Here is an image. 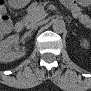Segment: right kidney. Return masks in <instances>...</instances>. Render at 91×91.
I'll return each mask as SVG.
<instances>
[{"label": "right kidney", "instance_id": "1", "mask_svg": "<svg viewBox=\"0 0 91 91\" xmlns=\"http://www.w3.org/2000/svg\"><path fill=\"white\" fill-rule=\"evenodd\" d=\"M19 42V35H11L5 40L0 42V61L3 63L12 62L16 59L23 57L26 51L11 50Z\"/></svg>", "mask_w": 91, "mask_h": 91}]
</instances>
